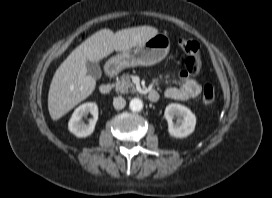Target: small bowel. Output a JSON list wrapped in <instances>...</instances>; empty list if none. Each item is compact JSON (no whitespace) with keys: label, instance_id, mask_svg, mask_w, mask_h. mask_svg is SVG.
<instances>
[{"label":"small bowel","instance_id":"c3829d8e","mask_svg":"<svg viewBox=\"0 0 272 198\" xmlns=\"http://www.w3.org/2000/svg\"><path fill=\"white\" fill-rule=\"evenodd\" d=\"M201 84L186 72H180L178 86L169 87L164 96L168 99L187 101L197 97L201 92Z\"/></svg>","mask_w":272,"mask_h":198}]
</instances>
